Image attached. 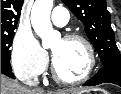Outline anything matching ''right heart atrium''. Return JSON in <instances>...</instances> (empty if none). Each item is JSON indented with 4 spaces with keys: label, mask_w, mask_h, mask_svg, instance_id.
Here are the masks:
<instances>
[{
    "label": "right heart atrium",
    "mask_w": 121,
    "mask_h": 94,
    "mask_svg": "<svg viewBox=\"0 0 121 94\" xmlns=\"http://www.w3.org/2000/svg\"><path fill=\"white\" fill-rule=\"evenodd\" d=\"M47 54L31 33L15 36L11 53V64L15 74L24 80L39 76L47 64Z\"/></svg>",
    "instance_id": "1"
}]
</instances>
